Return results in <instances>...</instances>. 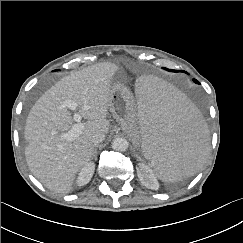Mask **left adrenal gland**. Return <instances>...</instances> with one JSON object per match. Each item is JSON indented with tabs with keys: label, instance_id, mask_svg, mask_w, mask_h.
Listing matches in <instances>:
<instances>
[{
	"label": "left adrenal gland",
	"instance_id": "left-adrenal-gland-1",
	"mask_svg": "<svg viewBox=\"0 0 243 243\" xmlns=\"http://www.w3.org/2000/svg\"><path fill=\"white\" fill-rule=\"evenodd\" d=\"M135 156L137 157V159L141 160V158L138 154H135Z\"/></svg>",
	"mask_w": 243,
	"mask_h": 243
}]
</instances>
